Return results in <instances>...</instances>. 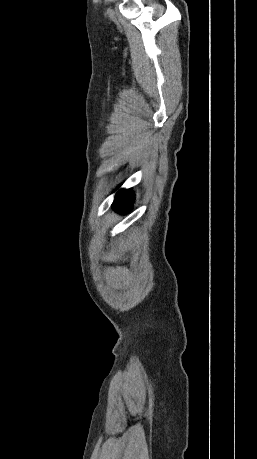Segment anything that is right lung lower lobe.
<instances>
[{
  "instance_id": "1",
  "label": "right lung lower lobe",
  "mask_w": 257,
  "mask_h": 459,
  "mask_svg": "<svg viewBox=\"0 0 257 459\" xmlns=\"http://www.w3.org/2000/svg\"><path fill=\"white\" fill-rule=\"evenodd\" d=\"M134 196L131 190H121L117 193L113 202L114 209L119 212H127L131 209V204Z\"/></svg>"
}]
</instances>
